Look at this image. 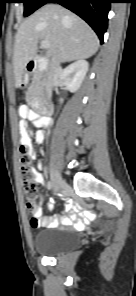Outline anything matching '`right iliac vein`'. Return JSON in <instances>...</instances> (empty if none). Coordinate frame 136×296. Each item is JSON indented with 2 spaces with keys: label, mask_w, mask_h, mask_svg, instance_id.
<instances>
[{
  "label": "right iliac vein",
  "mask_w": 136,
  "mask_h": 296,
  "mask_svg": "<svg viewBox=\"0 0 136 296\" xmlns=\"http://www.w3.org/2000/svg\"><path fill=\"white\" fill-rule=\"evenodd\" d=\"M50 172L54 193L57 194L61 188L66 189L67 184L62 180L59 172L53 164H50Z\"/></svg>",
  "instance_id": "right-iliac-vein-1"
}]
</instances>
